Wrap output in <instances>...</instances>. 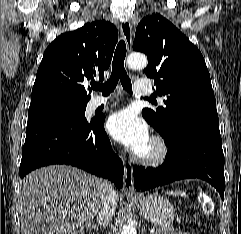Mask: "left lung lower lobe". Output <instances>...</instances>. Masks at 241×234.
I'll use <instances>...</instances> for the list:
<instances>
[{
	"instance_id": "1",
	"label": "left lung lower lobe",
	"mask_w": 241,
	"mask_h": 234,
	"mask_svg": "<svg viewBox=\"0 0 241 234\" xmlns=\"http://www.w3.org/2000/svg\"><path fill=\"white\" fill-rule=\"evenodd\" d=\"M159 168L135 167L134 185L145 191L180 179L200 178L213 185L224 198V155L219 129L189 125L178 130Z\"/></svg>"
}]
</instances>
